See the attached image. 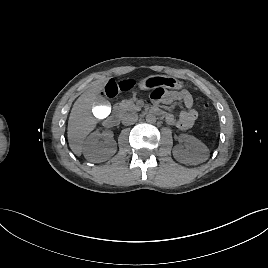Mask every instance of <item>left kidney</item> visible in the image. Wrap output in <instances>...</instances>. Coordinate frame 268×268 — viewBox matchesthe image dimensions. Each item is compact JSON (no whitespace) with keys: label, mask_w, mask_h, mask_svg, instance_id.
<instances>
[{"label":"left kidney","mask_w":268,"mask_h":268,"mask_svg":"<svg viewBox=\"0 0 268 268\" xmlns=\"http://www.w3.org/2000/svg\"><path fill=\"white\" fill-rule=\"evenodd\" d=\"M179 140L190 149L184 148L181 144L176 145L173 148V156L177 161L184 164H199L207 160L209 150L199 139L182 134Z\"/></svg>","instance_id":"1"}]
</instances>
